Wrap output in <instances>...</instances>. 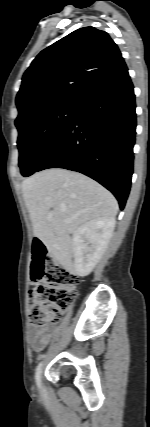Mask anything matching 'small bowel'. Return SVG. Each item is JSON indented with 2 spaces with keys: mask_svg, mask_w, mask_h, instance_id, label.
I'll return each instance as SVG.
<instances>
[{
  "mask_svg": "<svg viewBox=\"0 0 150 427\" xmlns=\"http://www.w3.org/2000/svg\"><path fill=\"white\" fill-rule=\"evenodd\" d=\"M54 329L52 327L29 329V342L34 351H41L49 342Z\"/></svg>",
  "mask_w": 150,
  "mask_h": 427,
  "instance_id": "small-bowel-1",
  "label": "small bowel"
}]
</instances>
